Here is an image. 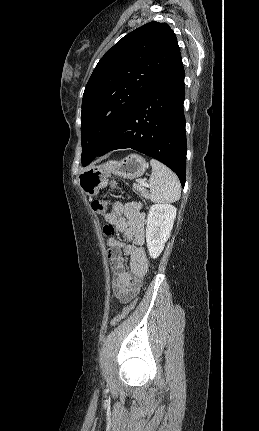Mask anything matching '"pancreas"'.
I'll return each instance as SVG.
<instances>
[{
  "label": "pancreas",
  "instance_id": "cf45deb5",
  "mask_svg": "<svg viewBox=\"0 0 259 431\" xmlns=\"http://www.w3.org/2000/svg\"><path fill=\"white\" fill-rule=\"evenodd\" d=\"M145 186L146 185H142L139 182L133 184V188L140 193L141 197L149 199L150 194L148 193V190L145 188Z\"/></svg>",
  "mask_w": 259,
  "mask_h": 431
}]
</instances>
